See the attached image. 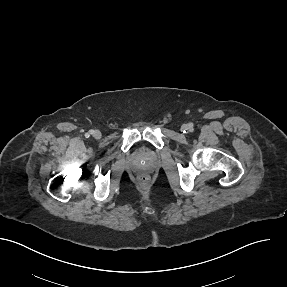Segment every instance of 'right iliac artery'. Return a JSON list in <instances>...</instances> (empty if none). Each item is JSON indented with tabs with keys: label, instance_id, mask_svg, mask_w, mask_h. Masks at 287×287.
Segmentation results:
<instances>
[{
	"label": "right iliac artery",
	"instance_id": "82829eb1",
	"mask_svg": "<svg viewBox=\"0 0 287 287\" xmlns=\"http://www.w3.org/2000/svg\"><path fill=\"white\" fill-rule=\"evenodd\" d=\"M93 132H94L93 130L89 131L90 134H93ZM86 136L89 137V134L87 133Z\"/></svg>",
	"mask_w": 287,
	"mask_h": 287
}]
</instances>
